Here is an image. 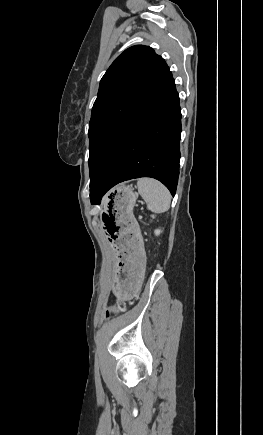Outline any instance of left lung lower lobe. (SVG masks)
<instances>
[{
	"instance_id": "1",
	"label": "left lung lower lobe",
	"mask_w": 263,
	"mask_h": 435,
	"mask_svg": "<svg viewBox=\"0 0 263 435\" xmlns=\"http://www.w3.org/2000/svg\"><path fill=\"white\" fill-rule=\"evenodd\" d=\"M181 135L179 96L172 79L133 119L90 184L92 204L116 184L139 177L161 181L175 195Z\"/></svg>"
}]
</instances>
